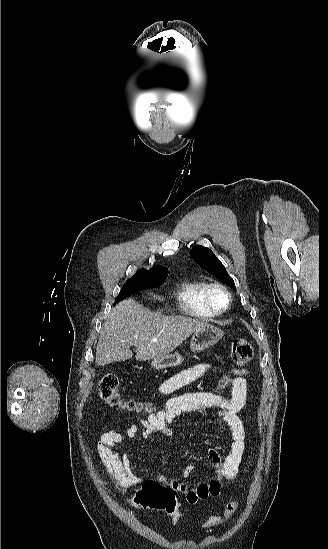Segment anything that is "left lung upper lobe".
Instances as JSON below:
<instances>
[{
    "mask_svg": "<svg viewBox=\"0 0 328 549\" xmlns=\"http://www.w3.org/2000/svg\"><path fill=\"white\" fill-rule=\"evenodd\" d=\"M193 260L203 269L214 275L217 279L231 287L235 288L233 279L228 275L221 261L214 255L211 249L197 245L190 252Z\"/></svg>",
    "mask_w": 328,
    "mask_h": 549,
    "instance_id": "5c2ea615",
    "label": "left lung upper lobe"
}]
</instances>
